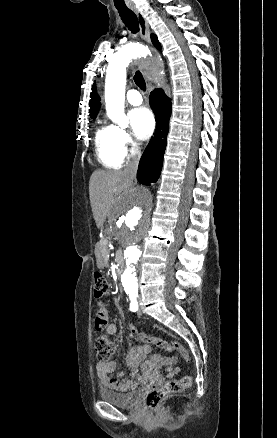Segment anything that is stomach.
Masks as SVG:
<instances>
[{"label": "stomach", "mask_w": 277, "mask_h": 438, "mask_svg": "<svg viewBox=\"0 0 277 438\" xmlns=\"http://www.w3.org/2000/svg\"><path fill=\"white\" fill-rule=\"evenodd\" d=\"M104 261L103 258L101 257V255L98 254V266L99 267H104Z\"/></svg>", "instance_id": "1"}]
</instances>
